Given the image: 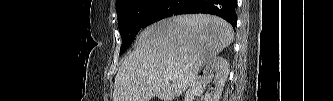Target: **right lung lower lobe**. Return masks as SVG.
Returning a JSON list of instances; mask_svg holds the SVG:
<instances>
[{
	"mask_svg": "<svg viewBox=\"0 0 333 101\" xmlns=\"http://www.w3.org/2000/svg\"><path fill=\"white\" fill-rule=\"evenodd\" d=\"M236 6L237 0H162L150 15L147 25L172 15L207 13L224 18L235 28Z\"/></svg>",
	"mask_w": 333,
	"mask_h": 101,
	"instance_id": "right-lung-lower-lobe-1",
	"label": "right lung lower lobe"
}]
</instances>
